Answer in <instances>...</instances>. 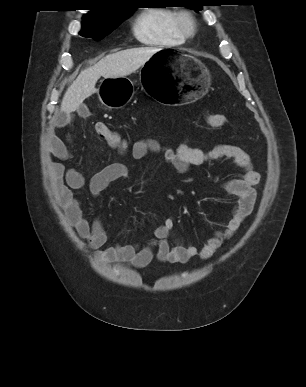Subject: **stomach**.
<instances>
[{
	"label": "stomach",
	"mask_w": 306,
	"mask_h": 387,
	"mask_svg": "<svg viewBox=\"0 0 306 387\" xmlns=\"http://www.w3.org/2000/svg\"><path fill=\"white\" fill-rule=\"evenodd\" d=\"M163 46L141 67L138 91H147L161 101L162 108H189L211 84L205 65L192 55ZM178 78V79H177ZM133 83L126 78L107 79L98 91L100 101L109 108L124 105L131 97Z\"/></svg>",
	"instance_id": "stomach-1"
}]
</instances>
